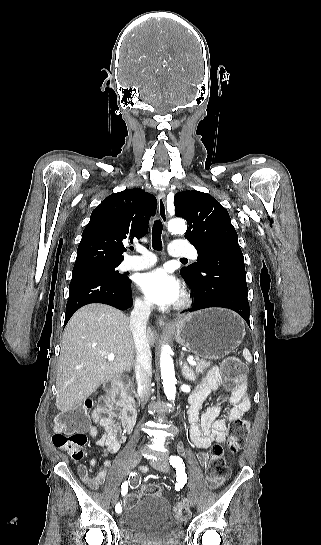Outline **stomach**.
Masks as SVG:
<instances>
[{"instance_id":"obj_1","label":"stomach","mask_w":321,"mask_h":545,"mask_svg":"<svg viewBox=\"0 0 321 545\" xmlns=\"http://www.w3.org/2000/svg\"><path fill=\"white\" fill-rule=\"evenodd\" d=\"M174 333L177 343L187 347L194 357L223 359L241 345L245 325L228 309H203L179 319Z\"/></svg>"}]
</instances>
